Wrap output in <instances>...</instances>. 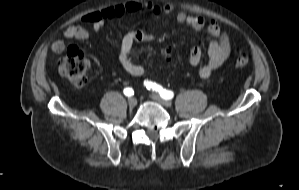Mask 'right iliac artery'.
Segmentation results:
<instances>
[{
	"mask_svg": "<svg viewBox=\"0 0 299 190\" xmlns=\"http://www.w3.org/2000/svg\"><path fill=\"white\" fill-rule=\"evenodd\" d=\"M123 92L128 97L134 95V90L132 88H125Z\"/></svg>",
	"mask_w": 299,
	"mask_h": 190,
	"instance_id": "1",
	"label": "right iliac artery"
}]
</instances>
